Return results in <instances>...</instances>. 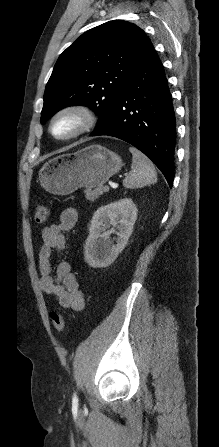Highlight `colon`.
I'll list each match as a JSON object with an SVG mask.
<instances>
[{
	"mask_svg": "<svg viewBox=\"0 0 219 447\" xmlns=\"http://www.w3.org/2000/svg\"><path fill=\"white\" fill-rule=\"evenodd\" d=\"M48 216H49V212H48V209L46 206L39 204L35 207L34 219L37 224L41 225V224L46 223L48 220ZM50 319H51L53 327L57 331L61 332L64 330L65 320H64L63 315L60 312L51 311Z\"/></svg>",
	"mask_w": 219,
	"mask_h": 447,
	"instance_id": "colon-1",
	"label": "colon"
}]
</instances>
